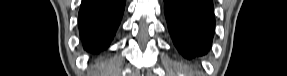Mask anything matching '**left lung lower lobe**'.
I'll return each instance as SVG.
<instances>
[{
    "label": "left lung lower lobe",
    "mask_w": 287,
    "mask_h": 76,
    "mask_svg": "<svg viewBox=\"0 0 287 76\" xmlns=\"http://www.w3.org/2000/svg\"><path fill=\"white\" fill-rule=\"evenodd\" d=\"M168 29L188 60L205 55L212 43L215 18L212 0H164Z\"/></svg>",
    "instance_id": "left-lung-lower-lobe-1"
}]
</instances>
